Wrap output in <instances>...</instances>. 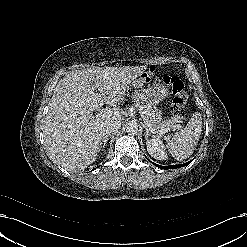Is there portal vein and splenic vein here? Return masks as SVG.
Listing matches in <instances>:
<instances>
[{"label":"portal vein and splenic vein","mask_w":247,"mask_h":247,"mask_svg":"<svg viewBox=\"0 0 247 247\" xmlns=\"http://www.w3.org/2000/svg\"><path fill=\"white\" fill-rule=\"evenodd\" d=\"M111 114H112V109H102V110H100L98 115L102 116V117H107V116H110ZM141 116H142L143 120L145 121V123L147 124V118L145 117V115H143V113H142ZM180 127H181L180 125H174L171 128L161 129L160 133L165 134L166 132H168L170 130L175 131L176 129H179Z\"/></svg>","instance_id":"18ae733b"}]
</instances>
